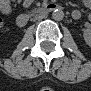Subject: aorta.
<instances>
[{
    "label": "aorta",
    "instance_id": "obj_1",
    "mask_svg": "<svg viewBox=\"0 0 91 91\" xmlns=\"http://www.w3.org/2000/svg\"><path fill=\"white\" fill-rule=\"evenodd\" d=\"M52 17L55 21H61L64 18V12L60 9H55L52 13Z\"/></svg>",
    "mask_w": 91,
    "mask_h": 91
}]
</instances>
